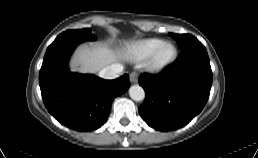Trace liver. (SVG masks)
<instances>
[{
    "instance_id": "6515ba94",
    "label": "liver",
    "mask_w": 258,
    "mask_h": 158,
    "mask_svg": "<svg viewBox=\"0 0 258 158\" xmlns=\"http://www.w3.org/2000/svg\"><path fill=\"white\" fill-rule=\"evenodd\" d=\"M126 49L130 50V47L126 46ZM122 54V51L113 50L107 45H82L73 55L72 69L80 73H96L114 63Z\"/></svg>"
}]
</instances>
